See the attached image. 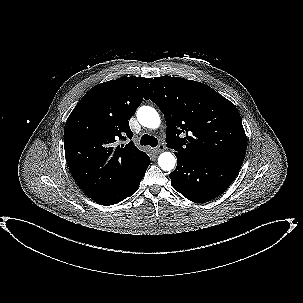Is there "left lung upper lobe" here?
Here are the masks:
<instances>
[{
    "mask_svg": "<svg viewBox=\"0 0 303 303\" xmlns=\"http://www.w3.org/2000/svg\"><path fill=\"white\" fill-rule=\"evenodd\" d=\"M144 98L153 101L164 114L166 143L175 154L195 161L242 165L247 138L240 114L214 89L200 82L163 76L152 80Z\"/></svg>",
    "mask_w": 303,
    "mask_h": 303,
    "instance_id": "1",
    "label": "left lung upper lobe"
}]
</instances>
